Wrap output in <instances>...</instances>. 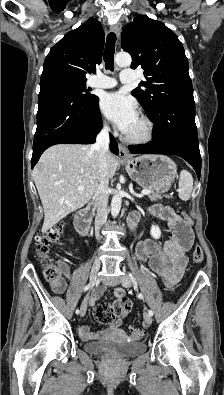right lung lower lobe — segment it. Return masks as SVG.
<instances>
[{"label": "right lung lower lobe", "mask_w": 224, "mask_h": 395, "mask_svg": "<svg viewBox=\"0 0 224 395\" xmlns=\"http://www.w3.org/2000/svg\"><path fill=\"white\" fill-rule=\"evenodd\" d=\"M101 127L97 96L86 101L56 86L40 85L32 168L41 154L52 145L94 143ZM110 140V150L118 155L115 139L110 136Z\"/></svg>", "instance_id": "1"}]
</instances>
